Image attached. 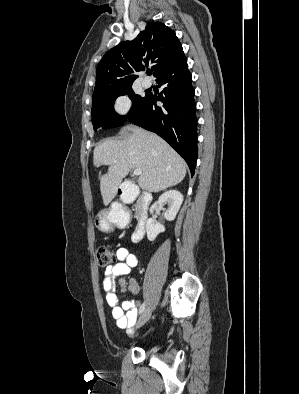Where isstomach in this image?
<instances>
[{
    "instance_id": "stomach-1",
    "label": "stomach",
    "mask_w": 299,
    "mask_h": 394,
    "mask_svg": "<svg viewBox=\"0 0 299 394\" xmlns=\"http://www.w3.org/2000/svg\"><path fill=\"white\" fill-rule=\"evenodd\" d=\"M115 222V216L113 211L103 210L100 211L95 219V226L103 232H109L112 229V224Z\"/></svg>"
}]
</instances>
